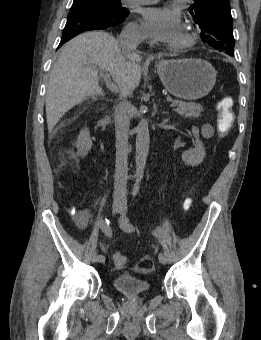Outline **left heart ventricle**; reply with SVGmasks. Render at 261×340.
Segmentation results:
<instances>
[{"label":"left heart ventricle","instance_id":"obj_1","mask_svg":"<svg viewBox=\"0 0 261 340\" xmlns=\"http://www.w3.org/2000/svg\"><path fill=\"white\" fill-rule=\"evenodd\" d=\"M181 37H182V35H181V33H180V34L175 38V40H174L173 42H176V41L180 40Z\"/></svg>","mask_w":261,"mask_h":340}]
</instances>
